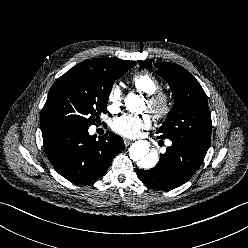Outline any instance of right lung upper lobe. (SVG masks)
Segmentation results:
<instances>
[{"instance_id": "1", "label": "right lung upper lobe", "mask_w": 248, "mask_h": 248, "mask_svg": "<svg viewBox=\"0 0 248 248\" xmlns=\"http://www.w3.org/2000/svg\"><path fill=\"white\" fill-rule=\"evenodd\" d=\"M131 61L126 60H117L112 58H99L93 60H85L79 64H77L72 69H87V70H98L104 72H115L126 65H128Z\"/></svg>"}]
</instances>
